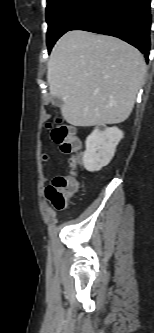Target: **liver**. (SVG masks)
I'll use <instances>...</instances> for the list:
<instances>
[{
    "label": "liver",
    "instance_id": "obj_1",
    "mask_svg": "<svg viewBox=\"0 0 154 333\" xmlns=\"http://www.w3.org/2000/svg\"><path fill=\"white\" fill-rule=\"evenodd\" d=\"M146 64L121 39L68 31L55 44L47 65L50 94L63 101L61 114L73 126L117 124L132 112Z\"/></svg>",
    "mask_w": 154,
    "mask_h": 333
}]
</instances>
